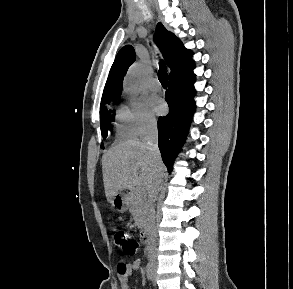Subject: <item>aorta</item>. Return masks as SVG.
Instances as JSON below:
<instances>
[{
    "label": "aorta",
    "instance_id": "762f6f07",
    "mask_svg": "<svg viewBox=\"0 0 293 289\" xmlns=\"http://www.w3.org/2000/svg\"><path fill=\"white\" fill-rule=\"evenodd\" d=\"M142 65L134 64L132 65L125 78H124V87L127 91L138 94L141 90L142 85Z\"/></svg>",
    "mask_w": 293,
    "mask_h": 289
}]
</instances>
